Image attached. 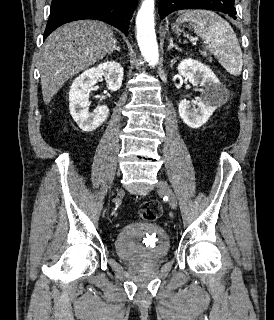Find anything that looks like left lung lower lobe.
I'll list each match as a JSON object with an SVG mask.
<instances>
[{
	"label": "left lung lower lobe",
	"mask_w": 274,
	"mask_h": 320,
	"mask_svg": "<svg viewBox=\"0 0 274 320\" xmlns=\"http://www.w3.org/2000/svg\"><path fill=\"white\" fill-rule=\"evenodd\" d=\"M181 9H208L220 11L237 19L234 0H159L158 11L161 19Z\"/></svg>",
	"instance_id": "0a47b994"
}]
</instances>
